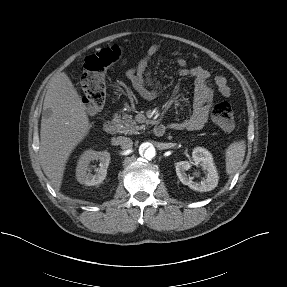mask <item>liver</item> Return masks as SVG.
Wrapping results in <instances>:
<instances>
[{"instance_id":"obj_1","label":"liver","mask_w":287,"mask_h":287,"mask_svg":"<svg viewBox=\"0 0 287 287\" xmlns=\"http://www.w3.org/2000/svg\"><path fill=\"white\" fill-rule=\"evenodd\" d=\"M86 107L62 72L48 83L40 129V162L55 190H60L66 162L90 129Z\"/></svg>"}]
</instances>
